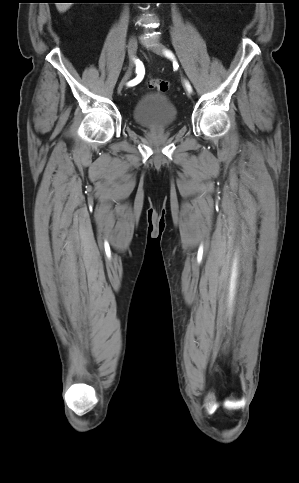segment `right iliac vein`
<instances>
[{
    "mask_svg": "<svg viewBox=\"0 0 299 483\" xmlns=\"http://www.w3.org/2000/svg\"><path fill=\"white\" fill-rule=\"evenodd\" d=\"M128 52H129V56H130V59H131L130 69L126 72V74L123 77L121 83L119 84V87H118V92L119 93L122 91V89L124 87V84L130 78L131 69H132V67L134 65V59H135L136 53H137V41H136L135 37H130V39L128 41Z\"/></svg>",
    "mask_w": 299,
    "mask_h": 483,
    "instance_id": "obj_1",
    "label": "right iliac vein"
}]
</instances>
